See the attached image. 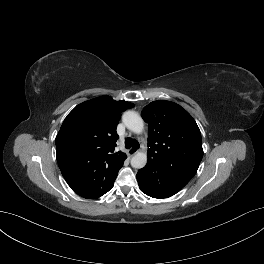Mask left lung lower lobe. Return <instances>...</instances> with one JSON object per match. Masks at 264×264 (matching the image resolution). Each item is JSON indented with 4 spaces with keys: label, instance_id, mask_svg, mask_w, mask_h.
Instances as JSON below:
<instances>
[{
    "label": "left lung lower lobe",
    "instance_id": "1",
    "mask_svg": "<svg viewBox=\"0 0 264 264\" xmlns=\"http://www.w3.org/2000/svg\"><path fill=\"white\" fill-rule=\"evenodd\" d=\"M137 181L143 193L153 198H167L180 191L189 180L181 173H167L152 160L137 173Z\"/></svg>",
    "mask_w": 264,
    "mask_h": 264
}]
</instances>
